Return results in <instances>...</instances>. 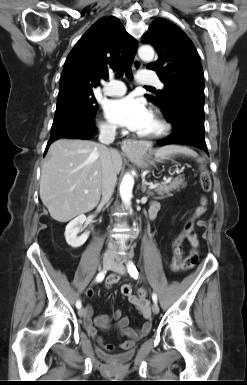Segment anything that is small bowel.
I'll return each instance as SVG.
<instances>
[{"mask_svg":"<svg viewBox=\"0 0 247 385\" xmlns=\"http://www.w3.org/2000/svg\"><path fill=\"white\" fill-rule=\"evenodd\" d=\"M159 208H160L159 204L156 202H153L149 208V216L150 217L152 216L151 212L155 213V216H156L159 211ZM199 217L200 215H198L195 211V213L190 217L189 221L186 224L185 232L180 236L181 238L186 236L193 248H196L198 246V240L195 234L189 233L188 229L189 228L192 229L194 222L198 220ZM171 268L173 271H179V270H186L191 267L186 265L177 266L173 262L171 264ZM119 280H120L119 274L117 273L110 274L106 279L107 288H111L116 283H118ZM125 285H128L130 288V293L125 296L128 297L129 302L136 307V309L141 313V315L145 319V322L140 329L130 327L129 317L122 315L121 310H116L110 314H98L96 316H93V308L90 305H88L85 309L86 315L84 317L83 322L87 333L95 337L97 340V343L107 350H113L114 346L105 345L104 339L98 335V330H107L111 327H114L120 332L121 335L126 336L128 338L127 341L119 345V348L122 350H129L133 347L135 341L143 338L150 331L152 327L151 308L148 300L146 299V291L144 289H141L139 290L138 294L134 295L132 294L131 285L129 284H125ZM86 296L93 297L94 291L87 290Z\"/></svg>","mask_w":247,"mask_h":385,"instance_id":"small-bowel-1","label":"small bowel"}]
</instances>
